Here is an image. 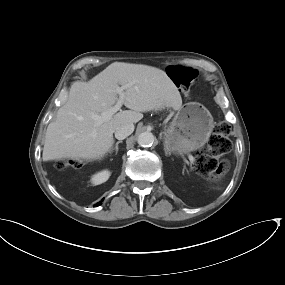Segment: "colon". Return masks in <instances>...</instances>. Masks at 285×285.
I'll list each match as a JSON object with an SVG mask.
<instances>
[{"label":"colon","mask_w":285,"mask_h":285,"mask_svg":"<svg viewBox=\"0 0 285 285\" xmlns=\"http://www.w3.org/2000/svg\"><path fill=\"white\" fill-rule=\"evenodd\" d=\"M170 76L176 83L180 81H189L192 77V69L181 66L170 65L167 67ZM229 125L220 123L215 127L213 135L210 137L207 146L202 148L195 160L196 170L208 180H216L223 176L228 170V163L220 160V156L228 153L231 144L228 139ZM77 160H59L57 162L58 169L68 167H79Z\"/></svg>","instance_id":"1"}]
</instances>
